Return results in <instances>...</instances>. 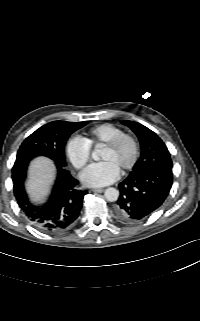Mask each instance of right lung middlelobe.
<instances>
[{
    "label": "right lung middle lobe",
    "instance_id": "dd1d6c3e",
    "mask_svg": "<svg viewBox=\"0 0 200 321\" xmlns=\"http://www.w3.org/2000/svg\"><path fill=\"white\" fill-rule=\"evenodd\" d=\"M88 122L53 121L37 129L21 144L16 160L47 156L66 167L64 147L69 136Z\"/></svg>",
    "mask_w": 200,
    "mask_h": 321
}]
</instances>
